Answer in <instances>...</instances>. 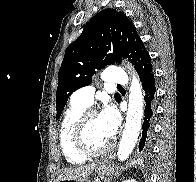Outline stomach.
Segmentation results:
<instances>
[{"mask_svg":"<svg viewBox=\"0 0 196 182\" xmlns=\"http://www.w3.org/2000/svg\"><path fill=\"white\" fill-rule=\"evenodd\" d=\"M95 172L104 182H109L114 175V170L107 163L101 162L97 165ZM57 182H90L86 180H75V179H62Z\"/></svg>","mask_w":196,"mask_h":182,"instance_id":"stomach-1","label":"stomach"}]
</instances>
